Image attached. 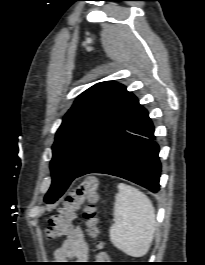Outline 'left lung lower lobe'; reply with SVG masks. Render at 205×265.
Here are the masks:
<instances>
[{
  "label": "left lung lower lobe",
  "instance_id": "left-lung-lower-lobe-1",
  "mask_svg": "<svg viewBox=\"0 0 205 265\" xmlns=\"http://www.w3.org/2000/svg\"><path fill=\"white\" fill-rule=\"evenodd\" d=\"M153 124L139 106L128 122L83 166L75 178L104 173L132 181L152 192L159 190L161 164Z\"/></svg>",
  "mask_w": 205,
  "mask_h": 265
}]
</instances>
